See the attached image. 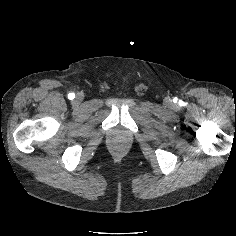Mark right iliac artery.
<instances>
[{"label":"right iliac artery","instance_id":"82829eb1","mask_svg":"<svg viewBox=\"0 0 236 236\" xmlns=\"http://www.w3.org/2000/svg\"><path fill=\"white\" fill-rule=\"evenodd\" d=\"M74 97H75V94H74V93H69V94H68V98H69V99L72 100V99H74Z\"/></svg>","mask_w":236,"mask_h":236}]
</instances>
